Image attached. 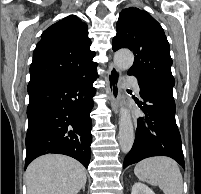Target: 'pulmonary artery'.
Instances as JSON below:
<instances>
[{
    "instance_id": "e3ab8cb5",
    "label": "pulmonary artery",
    "mask_w": 201,
    "mask_h": 194,
    "mask_svg": "<svg viewBox=\"0 0 201 194\" xmlns=\"http://www.w3.org/2000/svg\"><path fill=\"white\" fill-rule=\"evenodd\" d=\"M126 81L133 87L134 91L139 94L140 87L137 79L134 76H126Z\"/></svg>"
}]
</instances>
